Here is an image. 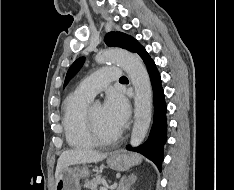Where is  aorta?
<instances>
[{
	"instance_id": "obj_1",
	"label": "aorta",
	"mask_w": 234,
	"mask_h": 190,
	"mask_svg": "<svg viewBox=\"0 0 234 190\" xmlns=\"http://www.w3.org/2000/svg\"><path fill=\"white\" fill-rule=\"evenodd\" d=\"M97 61L118 64L126 71L131 80L135 89V121L130 144L136 147L144 140L151 123L152 88L147 70L137 55L123 49H104L98 53Z\"/></svg>"
}]
</instances>
